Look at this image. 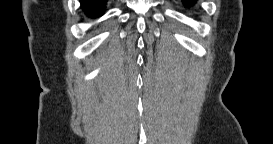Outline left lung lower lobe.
<instances>
[{"label":"left lung lower lobe","mask_w":273,"mask_h":144,"mask_svg":"<svg viewBox=\"0 0 273 144\" xmlns=\"http://www.w3.org/2000/svg\"><path fill=\"white\" fill-rule=\"evenodd\" d=\"M183 2H184V5L189 7L194 5L196 3V0H183Z\"/></svg>","instance_id":"left-lung-lower-lobe-1"}]
</instances>
